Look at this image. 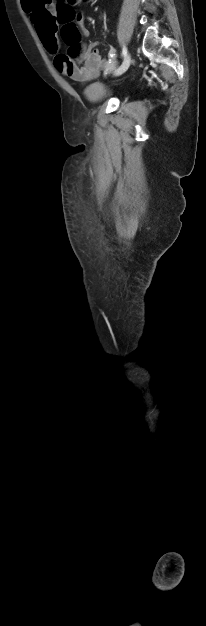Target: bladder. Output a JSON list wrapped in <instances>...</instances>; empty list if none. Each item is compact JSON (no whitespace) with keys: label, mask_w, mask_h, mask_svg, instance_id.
<instances>
[{"label":"bladder","mask_w":206,"mask_h":626,"mask_svg":"<svg viewBox=\"0 0 206 626\" xmlns=\"http://www.w3.org/2000/svg\"><path fill=\"white\" fill-rule=\"evenodd\" d=\"M110 90L102 83L89 85L85 91V98L92 103H99L110 96Z\"/></svg>","instance_id":"obj_1"}]
</instances>
